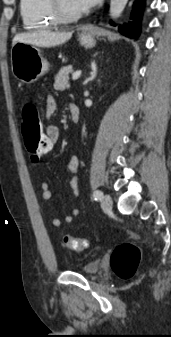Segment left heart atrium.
Segmentation results:
<instances>
[{
  "label": "left heart atrium",
  "instance_id": "1",
  "mask_svg": "<svg viewBox=\"0 0 171 337\" xmlns=\"http://www.w3.org/2000/svg\"><path fill=\"white\" fill-rule=\"evenodd\" d=\"M73 1L79 9L86 10L95 6L100 0H73Z\"/></svg>",
  "mask_w": 171,
  "mask_h": 337
}]
</instances>
